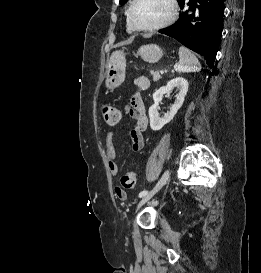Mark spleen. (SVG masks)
<instances>
[{"label":"spleen","mask_w":261,"mask_h":273,"mask_svg":"<svg viewBox=\"0 0 261 273\" xmlns=\"http://www.w3.org/2000/svg\"><path fill=\"white\" fill-rule=\"evenodd\" d=\"M175 71L179 73H191L201 70V64L197 57L186 47L179 48V61L174 65Z\"/></svg>","instance_id":"1"}]
</instances>
